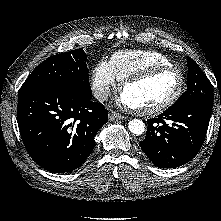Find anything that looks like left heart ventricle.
<instances>
[{
    "label": "left heart ventricle",
    "mask_w": 221,
    "mask_h": 221,
    "mask_svg": "<svg viewBox=\"0 0 221 221\" xmlns=\"http://www.w3.org/2000/svg\"><path fill=\"white\" fill-rule=\"evenodd\" d=\"M178 85L179 75L174 71H166L128 86L122 95L132 107L148 108L170 98Z\"/></svg>",
    "instance_id": "obj_1"
}]
</instances>
